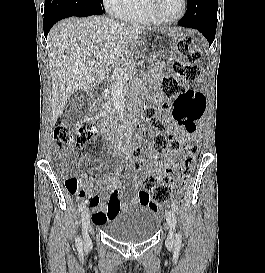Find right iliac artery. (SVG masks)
Instances as JSON below:
<instances>
[{
	"label": "right iliac artery",
	"mask_w": 265,
	"mask_h": 273,
	"mask_svg": "<svg viewBox=\"0 0 265 273\" xmlns=\"http://www.w3.org/2000/svg\"><path fill=\"white\" fill-rule=\"evenodd\" d=\"M86 208V203L82 202L80 205H79V212L83 211L84 209ZM75 243H76V246L78 249H81L82 248V241L79 237H76L75 239Z\"/></svg>",
	"instance_id": "1"
}]
</instances>
